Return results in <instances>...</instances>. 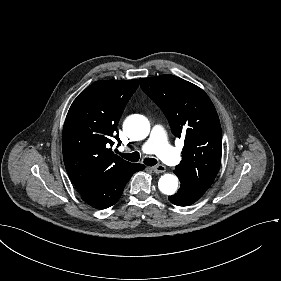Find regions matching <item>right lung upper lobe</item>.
Masks as SVG:
<instances>
[{
  "mask_svg": "<svg viewBox=\"0 0 281 281\" xmlns=\"http://www.w3.org/2000/svg\"><path fill=\"white\" fill-rule=\"evenodd\" d=\"M138 87L137 80L98 81L72 103L63 128L64 164L77 191L91 192L130 170L111 149L121 114Z\"/></svg>",
  "mask_w": 281,
  "mask_h": 281,
  "instance_id": "obj_1",
  "label": "right lung upper lobe"
}]
</instances>
